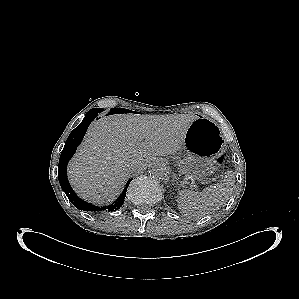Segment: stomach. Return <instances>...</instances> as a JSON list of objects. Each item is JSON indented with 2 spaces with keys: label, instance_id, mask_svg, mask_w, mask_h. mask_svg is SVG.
Here are the masks:
<instances>
[{
  "label": "stomach",
  "instance_id": "0dacf381",
  "mask_svg": "<svg viewBox=\"0 0 299 299\" xmlns=\"http://www.w3.org/2000/svg\"><path fill=\"white\" fill-rule=\"evenodd\" d=\"M186 157L178 163L181 174L202 180L211 175L214 159L224 151L225 143L218 125L207 117H197L190 124L184 138Z\"/></svg>",
  "mask_w": 299,
  "mask_h": 299
}]
</instances>
